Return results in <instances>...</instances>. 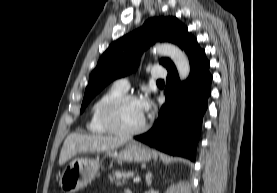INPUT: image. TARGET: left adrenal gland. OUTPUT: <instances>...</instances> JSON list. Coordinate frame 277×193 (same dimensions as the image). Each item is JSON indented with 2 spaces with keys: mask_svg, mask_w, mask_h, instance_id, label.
<instances>
[{
  "mask_svg": "<svg viewBox=\"0 0 277 193\" xmlns=\"http://www.w3.org/2000/svg\"><path fill=\"white\" fill-rule=\"evenodd\" d=\"M146 183L148 186H151L152 184V174L150 172L146 174Z\"/></svg>",
  "mask_w": 277,
  "mask_h": 193,
  "instance_id": "left-adrenal-gland-1",
  "label": "left adrenal gland"
}]
</instances>
